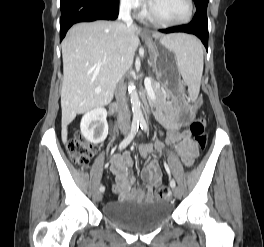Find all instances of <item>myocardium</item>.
Wrapping results in <instances>:
<instances>
[{
	"label": "myocardium",
	"mask_w": 264,
	"mask_h": 247,
	"mask_svg": "<svg viewBox=\"0 0 264 247\" xmlns=\"http://www.w3.org/2000/svg\"><path fill=\"white\" fill-rule=\"evenodd\" d=\"M188 6V13L185 18L177 21H168L161 17H159L153 10L152 6L149 5L147 8L148 16L157 24L166 26V27H174V26H182L191 22L194 16V2L193 0H186Z\"/></svg>",
	"instance_id": "f54148a6"
}]
</instances>
